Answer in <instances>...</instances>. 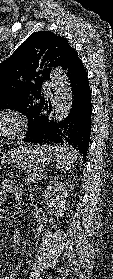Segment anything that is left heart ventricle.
Returning a JSON list of instances; mask_svg holds the SVG:
<instances>
[{"label": "left heart ventricle", "instance_id": "b2bd125f", "mask_svg": "<svg viewBox=\"0 0 113 279\" xmlns=\"http://www.w3.org/2000/svg\"><path fill=\"white\" fill-rule=\"evenodd\" d=\"M1 128H2V124H0V130H1Z\"/></svg>", "mask_w": 113, "mask_h": 279}]
</instances>
